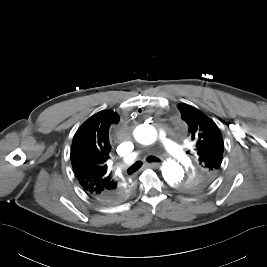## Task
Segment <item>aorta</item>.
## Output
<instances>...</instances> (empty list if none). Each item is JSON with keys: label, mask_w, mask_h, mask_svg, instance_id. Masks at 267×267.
<instances>
[{"label": "aorta", "mask_w": 267, "mask_h": 267, "mask_svg": "<svg viewBox=\"0 0 267 267\" xmlns=\"http://www.w3.org/2000/svg\"><path fill=\"white\" fill-rule=\"evenodd\" d=\"M135 139L144 145H150L157 139L156 129L148 124H142L134 130ZM162 176L170 186H178L184 177V170L179 162L168 160L161 167Z\"/></svg>", "instance_id": "762f6f07"}]
</instances>
